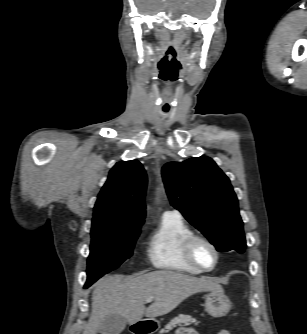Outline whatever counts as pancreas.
<instances>
[{
	"label": "pancreas",
	"mask_w": 307,
	"mask_h": 334,
	"mask_svg": "<svg viewBox=\"0 0 307 334\" xmlns=\"http://www.w3.org/2000/svg\"><path fill=\"white\" fill-rule=\"evenodd\" d=\"M190 325V324H195L198 325L199 322L195 319L192 318L190 315H179L178 317H175L174 319H172L163 329L160 330V334L163 333H168L170 330H172L173 328H175L177 325Z\"/></svg>",
	"instance_id": "cf45deb5"
}]
</instances>
